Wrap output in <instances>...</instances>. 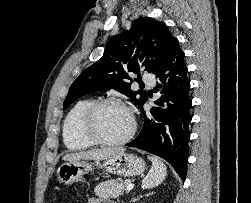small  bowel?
Masks as SVG:
<instances>
[{
	"mask_svg": "<svg viewBox=\"0 0 251 203\" xmlns=\"http://www.w3.org/2000/svg\"><path fill=\"white\" fill-rule=\"evenodd\" d=\"M87 203H109V202H102L100 199L90 198Z\"/></svg>",
	"mask_w": 251,
	"mask_h": 203,
	"instance_id": "obj_1",
	"label": "small bowel"
}]
</instances>
